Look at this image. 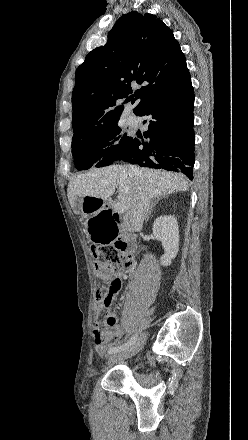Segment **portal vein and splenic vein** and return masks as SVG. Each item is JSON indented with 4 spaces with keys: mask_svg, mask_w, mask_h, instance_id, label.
Listing matches in <instances>:
<instances>
[{
    "mask_svg": "<svg viewBox=\"0 0 248 440\" xmlns=\"http://www.w3.org/2000/svg\"><path fill=\"white\" fill-rule=\"evenodd\" d=\"M115 209H116L117 211H120V212H124V211H125V207H124V205H123L122 203H120V202H118V203L115 204Z\"/></svg>",
    "mask_w": 248,
    "mask_h": 440,
    "instance_id": "1",
    "label": "portal vein and splenic vein"
}]
</instances>
